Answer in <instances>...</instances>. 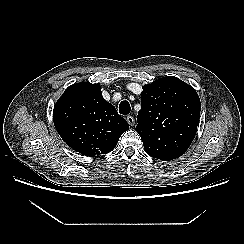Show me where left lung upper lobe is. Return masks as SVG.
<instances>
[{"label": "left lung upper lobe", "mask_w": 244, "mask_h": 244, "mask_svg": "<svg viewBox=\"0 0 244 244\" xmlns=\"http://www.w3.org/2000/svg\"><path fill=\"white\" fill-rule=\"evenodd\" d=\"M136 131L145 152L163 161L180 157L191 145L200 116V99L193 87L170 76L143 87Z\"/></svg>", "instance_id": "5c2ea615"}]
</instances>
